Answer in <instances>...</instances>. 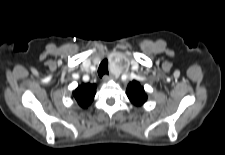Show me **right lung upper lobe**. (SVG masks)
<instances>
[{
	"label": "right lung upper lobe",
	"instance_id": "1",
	"mask_svg": "<svg viewBox=\"0 0 225 155\" xmlns=\"http://www.w3.org/2000/svg\"><path fill=\"white\" fill-rule=\"evenodd\" d=\"M96 92L95 84H82L73 92V98L82 107H88L94 99Z\"/></svg>",
	"mask_w": 225,
	"mask_h": 155
}]
</instances>
